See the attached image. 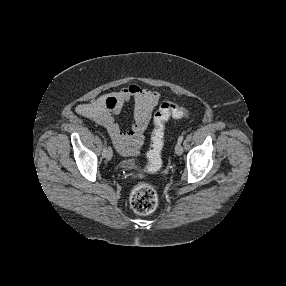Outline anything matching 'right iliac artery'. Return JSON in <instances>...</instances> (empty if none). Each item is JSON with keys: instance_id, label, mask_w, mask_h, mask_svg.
I'll return each instance as SVG.
<instances>
[{"instance_id": "82829eb1", "label": "right iliac artery", "mask_w": 286, "mask_h": 286, "mask_svg": "<svg viewBox=\"0 0 286 286\" xmlns=\"http://www.w3.org/2000/svg\"><path fill=\"white\" fill-rule=\"evenodd\" d=\"M103 144H104L103 156L105 157L106 150H107V141H106V139L104 137H103Z\"/></svg>"}]
</instances>
